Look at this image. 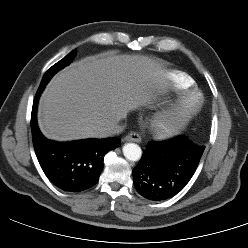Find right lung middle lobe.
Returning <instances> with one entry per match:
<instances>
[{
  "instance_id": "right-lung-middle-lobe-1",
  "label": "right lung middle lobe",
  "mask_w": 248,
  "mask_h": 248,
  "mask_svg": "<svg viewBox=\"0 0 248 248\" xmlns=\"http://www.w3.org/2000/svg\"><path fill=\"white\" fill-rule=\"evenodd\" d=\"M76 54V50H73L70 54H68L65 58H63L62 60H60L59 62H57L56 64H54L50 69H48L46 71V73L44 74L41 83L42 84H47L48 81L51 79V77L60 69H62L63 67H65L66 65H68L71 60L73 59V57Z\"/></svg>"
}]
</instances>
